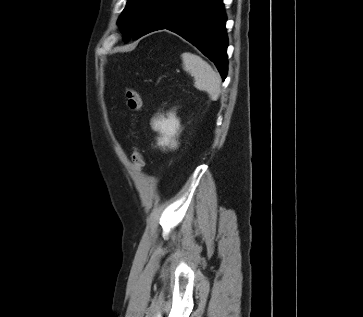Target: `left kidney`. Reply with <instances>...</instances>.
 <instances>
[{
  "label": "left kidney",
  "instance_id": "5707ae66",
  "mask_svg": "<svg viewBox=\"0 0 363 317\" xmlns=\"http://www.w3.org/2000/svg\"><path fill=\"white\" fill-rule=\"evenodd\" d=\"M154 128L159 130L162 134L159 138V145L170 146L171 148H176L177 142L174 139L175 134L179 129V121L174 114L170 113L168 118H159L153 123Z\"/></svg>",
  "mask_w": 363,
  "mask_h": 317
}]
</instances>
